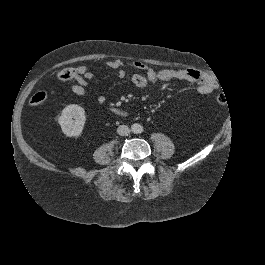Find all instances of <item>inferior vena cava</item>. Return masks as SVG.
Returning <instances> with one entry per match:
<instances>
[{
	"instance_id": "1",
	"label": "inferior vena cava",
	"mask_w": 265,
	"mask_h": 265,
	"mask_svg": "<svg viewBox=\"0 0 265 265\" xmlns=\"http://www.w3.org/2000/svg\"><path fill=\"white\" fill-rule=\"evenodd\" d=\"M117 133L121 136H127L130 134V129L128 126L126 125H120L118 128H117Z\"/></svg>"
}]
</instances>
